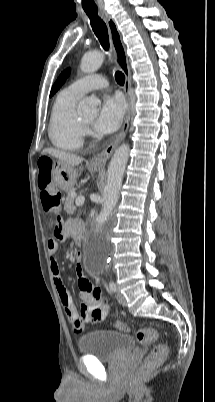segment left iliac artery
Segmentation results:
<instances>
[{
  "label": "left iliac artery",
  "mask_w": 215,
  "mask_h": 402,
  "mask_svg": "<svg viewBox=\"0 0 215 402\" xmlns=\"http://www.w3.org/2000/svg\"><path fill=\"white\" fill-rule=\"evenodd\" d=\"M109 288H110V290H111L112 292H115V291H116V284H115L113 281H111V282L109 283Z\"/></svg>",
  "instance_id": "left-iliac-artery-1"
}]
</instances>
